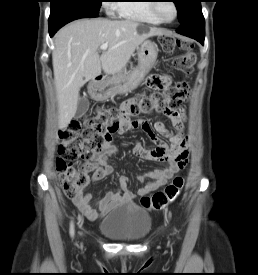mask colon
Masks as SVG:
<instances>
[{
    "instance_id": "colon-1",
    "label": "colon",
    "mask_w": 258,
    "mask_h": 275,
    "mask_svg": "<svg viewBox=\"0 0 258 275\" xmlns=\"http://www.w3.org/2000/svg\"><path fill=\"white\" fill-rule=\"evenodd\" d=\"M160 45L167 53L181 50L183 53L173 60L175 70L184 74L193 71L195 54L191 42L181 40L171 34L160 36ZM153 91L137 99L131 100L119 109L100 108L93 116L82 115L59 132L58 158L56 162L59 180L64 194L72 199L82 195L89 183V165L85 162L76 166L79 159L88 154L101 151L112 136L121 129L137 127L140 115L153 112L169 114L181 107L189 95V85L180 82L172 88H165L159 78L149 80ZM185 185L183 175H177L161 191L152 196H144L140 203L144 208L161 210L172 203Z\"/></svg>"
}]
</instances>
